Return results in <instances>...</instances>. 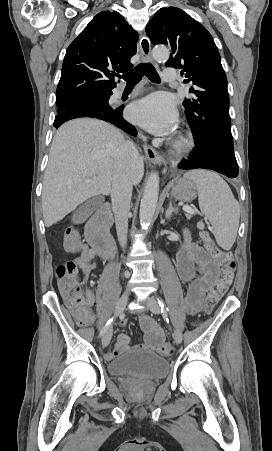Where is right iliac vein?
<instances>
[{
  "label": "right iliac vein",
  "mask_w": 272,
  "mask_h": 451,
  "mask_svg": "<svg viewBox=\"0 0 272 451\" xmlns=\"http://www.w3.org/2000/svg\"><path fill=\"white\" fill-rule=\"evenodd\" d=\"M129 294H130L129 290H126L121 295L119 300L117 301V303L115 305V310H114V313L116 316L120 315L123 312L128 300H129ZM111 337H112V328H109L102 337V345L104 347L108 346V344L111 340Z\"/></svg>",
  "instance_id": "63e3f726"
}]
</instances>
